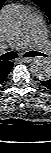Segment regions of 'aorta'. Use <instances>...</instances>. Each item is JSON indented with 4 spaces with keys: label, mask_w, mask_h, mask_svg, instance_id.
I'll return each mask as SVG.
<instances>
[{
    "label": "aorta",
    "mask_w": 51,
    "mask_h": 153,
    "mask_svg": "<svg viewBox=\"0 0 51 153\" xmlns=\"http://www.w3.org/2000/svg\"><path fill=\"white\" fill-rule=\"evenodd\" d=\"M1 24L6 34H21L29 24L28 14L20 6H7L2 10ZM30 69L32 74L41 81L51 78V62L46 57L35 58Z\"/></svg>",
    "instance_id": "1"
}]
</instances>
